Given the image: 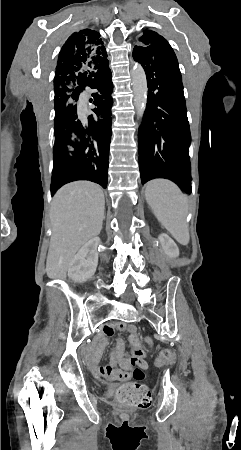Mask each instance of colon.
Returning a JSON list of instances; mask_svg holds the SVG:
<instances>
[{
    "label": "colon",
    "mask_w": 241,
    "mask_h": 450,
    "mask_svg": "<svg viewBox=\"0 0 241 450\" xmlns=\"http://www.w3.org/2000/svg\"><path fill=\"white\" fill-rule=\"evenodd\" d=\"M147 350L148 352L151 351V345L147 346ZM171 351L172 350L170 347H165L163 352L160 354L157 364L161 365L168 362ZM131 375L136 380H142L145 378V371L140 367H135L131 371ZM115 401L117 405H122L125 409L129 410L149 409L152 404L150 390L144 385L131 383L117 388L115 392Z\"/></svg>",
    "instance_id": "obj_1"
}]
</instances>
